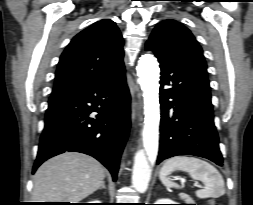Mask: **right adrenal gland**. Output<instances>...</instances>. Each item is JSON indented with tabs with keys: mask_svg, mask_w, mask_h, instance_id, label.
Masks as SVG:
<instances>
[{
	"mask_svg": "<svg viewBox=\"0 0 253 205\" xmlns=\"http://www.w3.org/2000/svg\"><path fill=\"white\" fill-rule=\"evenodd\" d=\"M99 189H106L105 182L103 181L101 187Z\"/></svg>",
	"mask_w": 253,
	"mask_h": 205,
	"instance_id": "right-adrenal-gland-1",
	"label": "right adrenal gland"
}]
</instances>
